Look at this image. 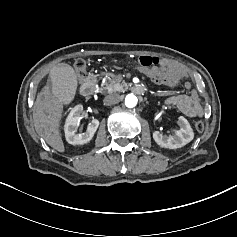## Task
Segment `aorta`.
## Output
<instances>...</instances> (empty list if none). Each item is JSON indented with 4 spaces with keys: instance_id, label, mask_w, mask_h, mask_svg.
<instances>
[{
    "instance_id": "obj_1",
    "label": "aorta",
    "mask_w": 237,
    "mask_h": 237,
    "mask_svg": "<svg viewBox=\"0 0 237 237\" xmlns=\"http://www.w3.org/2000/svg\"><path fill=\"white\" fill-rule=\"evenodd\" d=\"M124 104L127 108H134L137 105V98L133 94L126 96Z\"/></svg>"
}]
</instances>
